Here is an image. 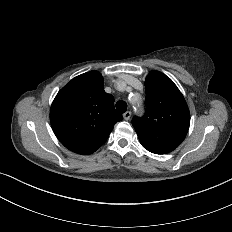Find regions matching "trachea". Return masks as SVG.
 Segmentation results:
<instances>
[{
	"label": "trachea",
	"instance_id": "3493384b",
	"mask_svg": "<svg viewBox=\"0 0 232 232\" xmlns=\"http://www.w3.org/2000/svg\"><path fill=\"white\" fill-rule=\"evenodd\" d=\"M116 109L119 113H124L127 110V103L125 101H118L116 103Z\"/></svg>",
	"mask_w": 232,
	"mask_h": 232
}]
</instances>
